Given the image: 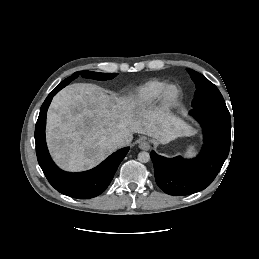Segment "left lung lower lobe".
<instances>
[{"label": "left lung lower lobe", "instance_id": "0a47b994", "mask_svg": "<svg viewBox=\"0 0 259 259\" xmlns=\"http://www.w3.org/2000/svg\"><path fill=\"white\" fill-rule=\"evenodd\" d=\"M190 115L201 124L204 133V145L196 158H165L154 151L150 153L156 183L170 195H189L205 189L229 154L231 119L226 105L193 108Z\"/></svg>", "mask_w": 259, "mask_h": 259}]
</instances>
